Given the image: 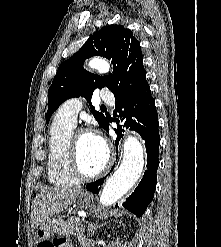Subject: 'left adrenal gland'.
Returning a JSON list of instances; mask_svg holds the SVG:
<instances>
[{
  "mask_svg": "<svg viewBox=\"0 0 221 247\" xmlns=\"http://www.w3.org/2000/svg\"><path fill=\"white\" fill-rule=\"evenodd\" d=\"M99 227H100V225H95L93 223L89 224L88 225V232H89L88 236L92 237L94 235L95 231L97 230V228H99Z\"/></svg>",
  "mask_w": 221,
  "mask_h": 247,
  "instance_id": "left-adrenal-gland-1",
  "label": "left adrenal gland"
}]
</instances>
